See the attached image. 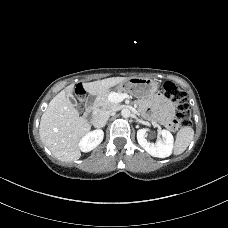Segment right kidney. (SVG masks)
Here are the masks:
<instances>
[{
    "mask_svg": "<svg viewBox=\"0 0 228 228\" xmlns=\"http://www.w3.org/2000/svg\"><path fill=\"white\" fill-rule=\"evenodd\" d=\"M104 132L101 129H97L85 134L80 142L79 148L82 152H89L96 148L103 140Z\"/></svg>",
    "mask_w": 228,
    "mask_h": 228,
    "instance_id": "1",
    "label": "right kidney"
}]
</instances>
